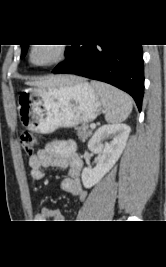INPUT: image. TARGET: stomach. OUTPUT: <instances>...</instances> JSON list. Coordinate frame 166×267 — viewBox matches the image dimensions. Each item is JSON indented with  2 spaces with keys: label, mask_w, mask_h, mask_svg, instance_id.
<instances>
[{
  "label": "stomach",
  "mask_w": 166,
  "mask_h": 267,
  "mask_svg": "<svg viewBox=\"0 0 166 267\" xmlns=\"http://www.w3.org/2000/svg\"><path fill=\"white\" fill-rule=\"evenodd\" d=\"M18 105L22 125L40 134L91 122L101 114L103 106L97 91L83 80L73 85L26 89Z\"/></svg>",
  "instance_id": "1"
}]
</instances>
